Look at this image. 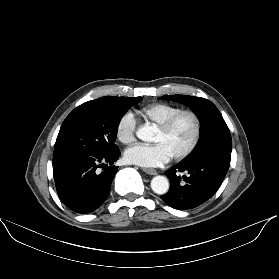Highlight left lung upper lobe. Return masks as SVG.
Masks as SVG:
<instances>
[{
    "instance_id": "left-lung-upper-lobe-1",
    "label": "left lung upper lobe",
    "mask_w": 279,
    "mask_h": 279,
    "mask_svg": "<svg viewBox=\"0 0 279 279\" xmlns=\"http://www.w3.org/2000/svg\"><path fill=\"white\" fill-rule=\"evenodd\" d=\"M162 100L180 102L191 107L201 125L200 140L184 160L217 158L230 165L232 140L228 126L217 107L207 99L187 95H165Z\"/></svg>"
}]
</instances>
